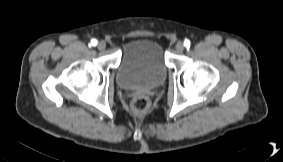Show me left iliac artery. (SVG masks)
<instances>
[{"mask_svg": "<svg viewBox=\"0 0 283 162\" xmlns=\"http://www.w3.org/2000/svg\"><path fill=\"white\" fill-rule=\"evenodd\" d=\"M184 46L187 48L190 47V41L188 39H185Z\"/></svg>", "mask_w": 283, "mask_h": 162, "instance_id": "left-iliac-artery-1", "label": "left iliac artery"}]
</instances>
